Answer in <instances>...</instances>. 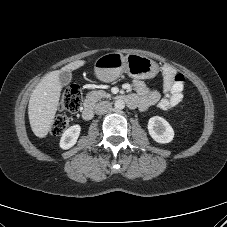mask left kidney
Here are the masks:
<instances>
[{
	"mask_svg": "<svg viewBox=\"0 0 227 227\" xmlns=\"http://www.w3.org/2000/svg\"><path fill=\"white\" fill-rule=\"evenodd\" d=\"M148 132L157 143H169L174 138V130L162 117L154 116L148 121Z\"/></svg>",
	"mask_w": 227,
	"mask_h": 227,
	"instance_id": "obj_1",
	"label": "left kidney"
}]
</instances>
